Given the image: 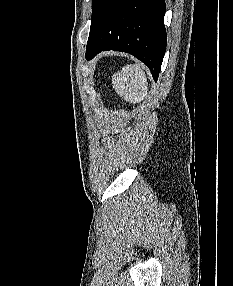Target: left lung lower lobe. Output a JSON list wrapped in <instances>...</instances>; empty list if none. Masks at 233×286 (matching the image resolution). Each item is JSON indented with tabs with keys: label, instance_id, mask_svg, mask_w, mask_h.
Segmentation results:
<instances>
[{
	"label": "left lung lower lobe",
	"instance_id": "0a47b994",
	"mask_svg": "<svg viewBox=\"0 0 233 286\" xmlns=\"http://www.w3.org/2000/svg\"><path fill=\"white\" fill-rule=\"evenodd\" d=\"M86 59L101 51L127 52L144 62L156 81L166 50L164 0H93Z\"/></svg>",
	"mask_w": 233,
	"mask_h": 286
}]
</instances>
